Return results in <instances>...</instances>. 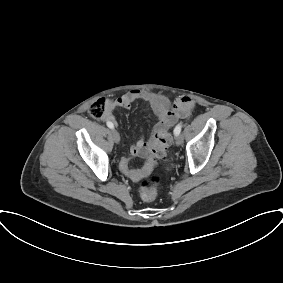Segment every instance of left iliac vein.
Instances as JSON below:
<instances>
[{"label":"left iliac vein","instance_id":"obj_1","mask_svg":"<svg viewBox=\"0 0 283 283\" xmlns=\"http://www.w3.org/2000/svg\"><path fill=\"white\" fill-rule=\"evenodd\" d=\"M175 142L178 146L182 145L183 143V136L180 134V135H177L176 138H175Z\"/></svg>","mask_w":283,"mask_h":283}]
</instances>
